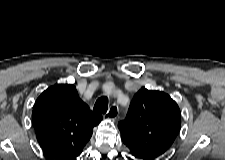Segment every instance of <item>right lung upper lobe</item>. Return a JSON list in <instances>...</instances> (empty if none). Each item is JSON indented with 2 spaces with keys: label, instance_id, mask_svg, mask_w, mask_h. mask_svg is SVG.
Segmentation results:
<instances>
[{
  "label": "right lung upper lobe",
  "instance_id": "right-lung-upper-lobe-1",
  "mask_svg": "<svg viewBox=\"0 0 225 160\" xmlns=\"http://www.w3.org/2000/svg\"><path fill=\"white\" fill-rule=\"evenodd\" d=\"M33 126L40 147L56 160H76L102 116L92 112L72 84H56L36 100Z\"/></svg>",
  "mask_w": 225,
  "mask_h": 160
}]
</instances>
